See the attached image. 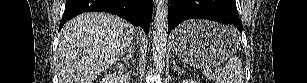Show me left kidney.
<instances>
[{
  "mask_svg": "<svg viewBox=\"0 0 307 83\" xmlns=\"http://www.w3.org/2000/svg\"><path fill=\"white\" fill-rule=\"evenodd\" d=\"M182 83H198V82L193 80V79H185V80H183Z\"/></svg>",
  "mask_w": 307,
  "mask_h": 83,
  "instance_id": "left-kidney-1",
  "label": "left kidney"
}]
</instances>
